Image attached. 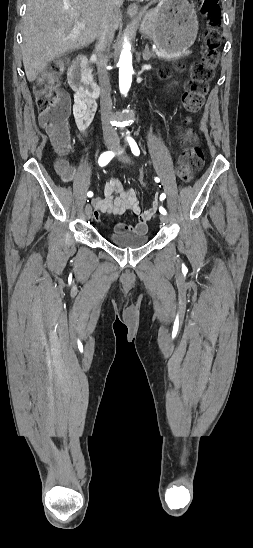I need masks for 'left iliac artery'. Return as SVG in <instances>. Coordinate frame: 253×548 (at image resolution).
<instances>
[{
	"label": "left iliac artery",
	"instance_id": "left-iliac-artery-1",
	"mask_svg": "<svg viewBox=\"0 0 253 548\" xmlns=\"http://www.w3.org/2000/svg\"><path fill=\"white\" fill-rule=\"evenodd\" d=\"M129 144H130L132 153H133L135 156H138V155L140 154V150H139V148H138L136 142H135L133 139H130V140H129ZM155 181H156V182H159L160 179H159L158 177H156V178H155ZM165 198H166V195H165L164 193H162V194L160 195V200L162 201V200H164ZM159 211H160L161 214H164V215L167 214V211H166L165 208H163L162 206H160Z\"/></svg>",
	"mask_w": 253,
	"mask_h": 548
}]
</instances>
